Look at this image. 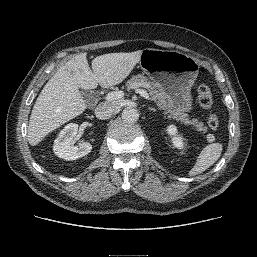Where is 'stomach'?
I'll use <instances>...</instances> for the list:
<instances>
[{
  "label": "stomach",
  "instance_id": "obj_1",
  "mask_svg": "<svg viewBox=\"0 0 257 257\" xmlns=\"http://www.w3.org/2000/svg\"><path fill=\"white\" fill-rule=\"evenodd\" d=\"M139 65L156 82L175 109H193L191 87L199 73L196 58L179 51L146 48L141 51Z\"/></svg>",
  "mask_w": 257,
  "mask_h": 257
}]
</instances>
